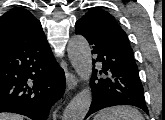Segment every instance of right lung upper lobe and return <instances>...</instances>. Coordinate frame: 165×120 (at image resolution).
Here are the masks:
<instances>
[{
    "label": "right lung upper lobe",
    "instance_id": "cb5924a9",
    "mask_svg": "<svg viewBox=\"0 0 165 120\" xmlns=\"http://www.w3.org/2000/svg\"><path fill=\"white\" fill-rule=\"evenodd\" d=\"M45 37L40 21L24 8H14L0 19V52Z\"/></svg>",
    "mask_w": 165,
    "mask_h": 120
}]
</instances>
